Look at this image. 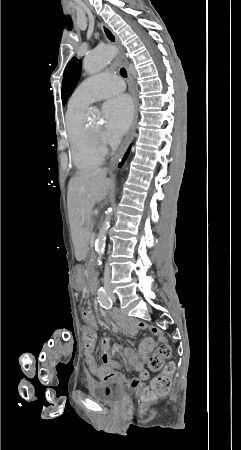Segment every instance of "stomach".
Segmentation results:
<instances>
[{
  "mask_svg": "<svg viewBox=\"0 0 241 450\" xmlns=\"http://www.w3.org/2000/svg\"><path fill=\"white\" fill-rule=\"evenodd\" d=\"M72 280L78 290L82 289L85 285V277L80 266H77L74 270Z\"/></svg>",
  "mask_w": 241,
  "mask_h": 450,
  "instance_id": "stomach-1",
  "label": "stomach"
}]
</instances>
